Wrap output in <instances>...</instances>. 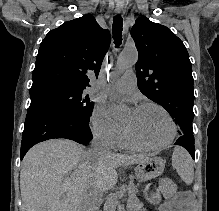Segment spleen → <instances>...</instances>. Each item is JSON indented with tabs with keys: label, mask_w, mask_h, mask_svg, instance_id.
Segmentation results:
<instances>
[{
	"label": "spleen",
	"mask_w": 219,
	"mask_h": 211,
	"mask_svg": "<svg viewBox=\"0 0 219 211\" xmlns=\"http://www.w3.org/2000/svg\"><path fill=\"white\" fill-rule=\"evenodd\" d=\"M172 165L185 183H193V161L188 151H186L184 147H181V145H176V147H174L172 153Z\"/></svg>",
	"instance_id": "1"
}]
</instances>
